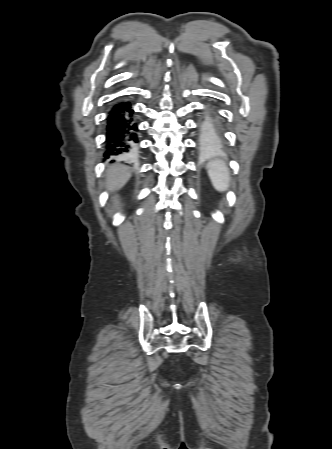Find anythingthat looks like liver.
Wrapping results in <instances>:
<instances>
[{
    "instance_id": "6515ba94",
    "label": "liver",
    "mask_w": 332,
    "mask_h": 449,
    "mask_svg": "<svg viewBox=\"0 0 332 449\" xmlns=\"http://www.w3.org/2000/svg\"><path fill=\"white\" fill-rule=\"evenodd\" d=\"M131 177L129 168L122 164L109 165L106 171V188L114 191L122 188Z\"/></svg>"
}]
</instances>
